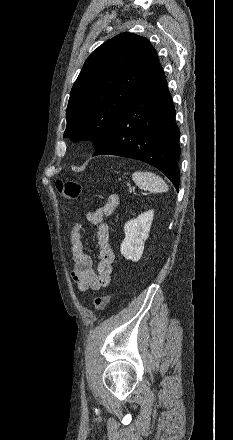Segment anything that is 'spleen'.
<instances>
[{"label":"spleen","instance_id":"1","mask_svg":"<svg viewBox=\"0 0 233 440\" xmlns=\"http://www.w3.org/2000/svg\"><path fill=\"white\" fill-rule=\"evenodd\" d=\"M132 179L140 189L148 190L152 193L168 191V186L165 181L155 173L134 172L132 174Z\"/></svg>","mask_w":233,"mask_h":440}]
</instances>
